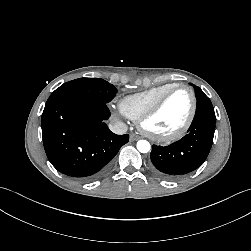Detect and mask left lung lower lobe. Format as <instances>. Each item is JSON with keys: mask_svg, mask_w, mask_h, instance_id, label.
Segmentation results:
<instances>
[{"mask_svg": "<svg viewBox=\"0 0 251 251\" xmlns=\"http://www.w3.org/2000/svg\"><path fill=\"white\" fill-rule=\"evenodd\" d=\"M215 115L197 114L185 135L169 146H152L151 169L158 176L173 180L201 166L207 158L215 132Z\"/></svg>", "mask_w": 251, "mask_h": 251, "instance_id": "1", "label": "left lung lower lobe"}]
</instances>
